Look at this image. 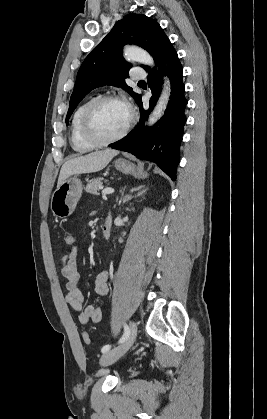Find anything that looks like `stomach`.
Wrapping results in <instances>:
<instances>
[{"label":"stomach","instance_id":"1","mask_svg":"<svg viewBox=\"0 0 267 419\" xmlns=\"http://www.w3.org/2000/svg\"><path fill=\"white\" fill-rule=\"evenodd\" d=\"M115 168L124 174H131L135 177L145 178L147 176L141 164L136 166L124 159L116 160ZM82 191L83 186L77 176L69 177L60 186H57L50 204L53 215L57 218L70 216L76 208Z\"/></svg>","mask_w":267,"mask_h":419}]
</instances>
